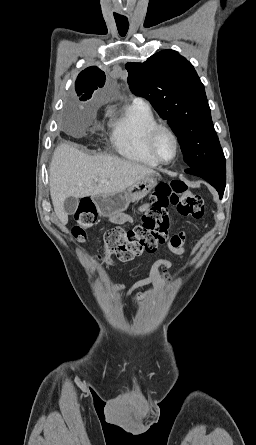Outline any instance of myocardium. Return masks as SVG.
Returning a JSON list of instances; mask_svg holds the SVG:
<instances>
[{
	"instance_id": "f54148a6",
	"label": "myocardium",
	"mask_w": 256,
	"mask_h": 445,
	"mask_svg": "<svg viewBox=\"0 0 256 445\" xmlns=\"http://www.w3.org/2000/svg\"><path fill=\"white\" fill-rule=\"evenodd\" d=\"M163 132L168 133L172 137L174 144H175V154H174L173 158L169 161L162 159L157 151V139H158L159 135ZM147 144H148V150H149L151 156L154 158V160L158 164L169 165V164L173 163L178 158L179 153H180V142H179V138H178L177 134L174 132V130L172 128H170L169 126L164 125V124H157L151 129V131L149 132V135H148Z\"/></svg>"
}]
</instances>
